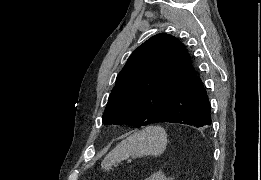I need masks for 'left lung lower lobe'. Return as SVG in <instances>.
Instances as JSON below:
<instances>
[{
	"mask_svg": "<svg viewBox=\"0 0 261 180\" xmlns=\"http://www.w3.org/2000/svg\"><path fill=\"white\" fill-rule=\"evenodd\" d=\"M159 122L181 123L198 128L212 124L206 88L195 69L167 107L152 121Z\"/></svg>",
	"mask_w": 261,
	"mask_h": 180,
	"instance_id": "obj_1",
	"label": "left lung lower lobe"
}]
</instances>
